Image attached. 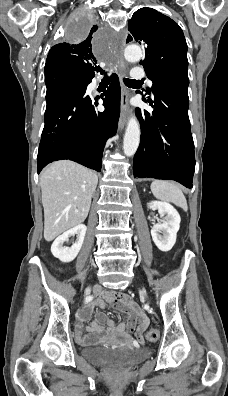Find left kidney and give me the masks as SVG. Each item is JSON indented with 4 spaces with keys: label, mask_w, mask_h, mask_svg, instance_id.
Here are the masks:
<instances>
[{
    "label": "left kidney",
    "mask_w": 228,
    "mask_h": 396,
    "mask_svg": "<svg viewBox=\"0 0 228 396\" xmlns=\"http://www.w3.org/2000/svg\"><path fill=\"white\" fill-rule=\"evenodd\" d=\"M148 208L157 209L163 218L162 224H156L151 229L152 239L159 250L167 252L176 243L177 232L180 228V215L169 203L152 201ZM165 216V217H164ZM163 233V235H160Z\"/></svg>",
    "instance_id": "1"
}]
</instances>
